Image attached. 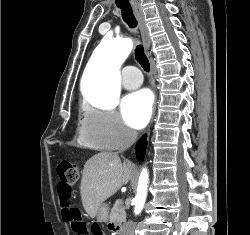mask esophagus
I'll list each match as a JSON object with an SVG mask.
<instances>
[{"instance_id": "1", "label": "esophagus", "mask_w": 250, "mask_h": 235, "mask_svg": "<svg viewBox=\"0 0 250 235\" xmlns=\"http://www.w3.org/2000/svg\"><path fill=\"white\" fill-rule=\"evenodd\" d=\"M133 9H134V13H135V16H136L138 24H139V30H140V33H141V38H142L144 48L148 52L149 49H150L151 41H150L149 31H148V28H147V25H146V22H145L142 7L138 3V4H135L133 6ZM152 71H153V69H152ZM149 133H150V131H148L147 134H149Z\"/></svg>"}]
</instances>
